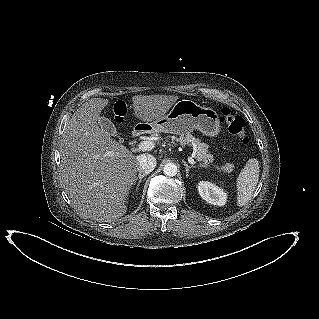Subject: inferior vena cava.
Listing matches in <instances>:
<instances>
[{
    "mask_svg": "<svg viewBox=\"0 0 319 319\" xmlns=\"http://www.w3.org/2000/svg\"><path fill=\"white\" fill-rule=\"evenodd\" d=\"M138 167L139 173L149 174L156 167V158L150 154H142L138 156Z\"/></svg>",
    "mask_w": 319,
    "mask_h": 319,
    "instance_id": "inferior-vena-cava-1",
    "label": "inferior vena cava"
}]
</instances>
